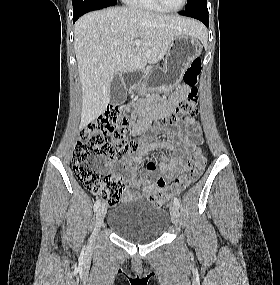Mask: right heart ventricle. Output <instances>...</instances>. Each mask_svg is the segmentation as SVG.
<instances>
[{"label":"right heart ventricle","instance_id":"obj_1","mask_svg":"<svg viewBox=\"0 0 280 285\" xmlns=\"http://www.w3.org/2000/svg\"><path fill=\"white\" fill-rule=\"evenodd\" d=\"M128 4L134 8L150 11V12H163L155 0H126Z\"/></svg>","mask_w":280,"mask_h":285}]
</instances>
